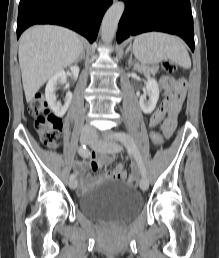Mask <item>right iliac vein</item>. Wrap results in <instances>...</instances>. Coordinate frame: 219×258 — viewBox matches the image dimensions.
Returning a JSON list of instances; mask_svg holds the SVG:
<instances>
[{"label": "right iliac vein", "mask_w": 219, "mask_h": 258, "mask_svg": "<svg viewBox=\"0 0 219 258\" xmlns=\"http://www.w3.org/2000/svg\"><path fill=\"white\" fill-rule=\"evenodd\" d=\"M92 133L87 130H82L80 135V141L82 144H88L91 140ZM70 189H75L77 187V181L72 179L68 183Z\"/></svg>", "instance_id": "1"}]
</instances>
